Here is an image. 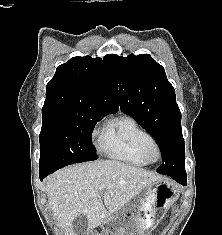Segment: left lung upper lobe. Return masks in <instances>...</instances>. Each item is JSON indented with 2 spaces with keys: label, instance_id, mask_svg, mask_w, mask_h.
<instances>
[{
  "label": "left lung upper lobe",
  "instance_id": "5c2ea615",
  "mask_svg": "<svg viewBox=\"0 0 222 235\" xmlns=\"http://www.w3.org/2000/svg\"><path fill=\"white\" fill-rule=\"evenodd\" d=\"M120 109L134 118L159 145L163 163L157 172L185 175V143L175 90L164 68L149 54L104 58Z\"/></svg>",
  "mask_w": 222,
  "mask_h": 235
}]
</instances>
